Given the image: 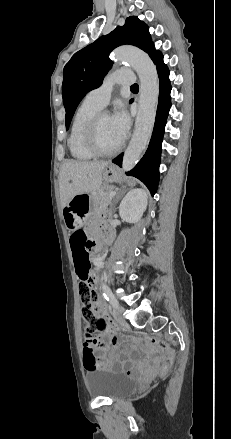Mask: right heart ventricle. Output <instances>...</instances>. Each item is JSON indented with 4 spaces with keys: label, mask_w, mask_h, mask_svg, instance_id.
<instances>
[{
    "label": "right heart ventricle",
    "mask_w": 231,
    "mask_h": 439,
    "mask_svg": "<svg viewBox=\"0 0 231 439\" xmlns=\"http://www.w3.org/2000/svg\"><path fill=\"white\" fill-rule=\"evenodd\" d=\"M101 109L102 108L99 106L85 99L74 113L67 139V145L70 154L77 160L86 161L94 157V154L85 144L84 131L90 118Z\"/></svg>",
    "instance_id": "e07e8e85"
}]
</instances>
